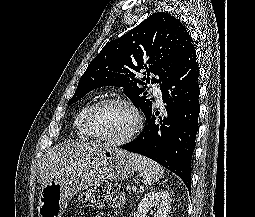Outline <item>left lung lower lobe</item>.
I'll return each instance as SVG.
<instances>
[{
	"mask_svg": "<svg viewBox=\"0 0 255 217\" xmlns=\"http://www.w3.org/2000/svg\"><path fill=\"white\" fill-rule=\"evenodd\" d=\"M199 68L194 47L162 80L161 91L167 117L156 123L152 109L147 127L130 144L121 148L153 159L191 185V158L198 131Z\"/></svg>",
	"mask_w": 255,
	"mask_h": 217,
	"instance_id": "left-lung-lower-lobe-1",
	"label": "left lung lower lobe"
}]
</instances>
